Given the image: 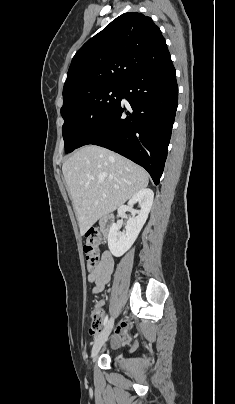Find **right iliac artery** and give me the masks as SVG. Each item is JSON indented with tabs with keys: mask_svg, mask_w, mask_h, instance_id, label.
<instances>
[{
	"mask_svg": "<svg viewBox=\"0 0 235 404\" xmlns=\"http://www.w3.org/2000/svg\"><path fill=\"white\" fill-rule=\"evenodd\" d=\"M107 322H108V315L105 317L103 325L105 326L107 324Z\"/></svg>",
	"mask_w": 235,
	"mask_h": 404,
	"instance_id": "82829eb1",
	"label": "right iliac artery"
}]
</instances>
